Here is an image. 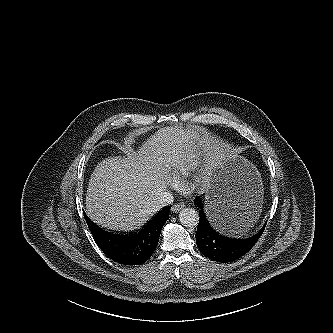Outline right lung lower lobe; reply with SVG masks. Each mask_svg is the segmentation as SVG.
I'll list each match as a JSON object with an SVG mask.
<instances>
[{"instance_id": "obj_1", "label": "right lung lower lobe", "mask_w": 333, "mask_h": 333, "mask_svg": "<svg viewBox=\"0 0 333 333\" xmlns=\"http://www.w3.org/2000/svg\"><path fill=\"white\" fill-rule=\"evenodd\" d=\"M169 210L170 206L165 207L142 229L125 235L107 232L86 214L84 216L95 242L106 256L119 264L132 266L146 262L154 253Z\"/></svg>"}]
</instances>
